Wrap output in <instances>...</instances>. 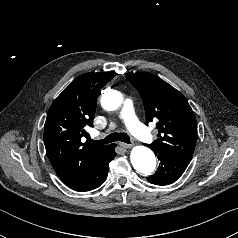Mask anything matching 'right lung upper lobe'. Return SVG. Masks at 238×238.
I'll return each instance as SVG.
<instances>
[{"instance_id":"obj_1","label":"right lung upper lobe","mask_w":238,"mask_h":238,"mask_svg":"<svg viewBox=\"0 0 238 238\" xmlns=\"http://www.w3.org/2000/svg\"><path fill=\"white\" fill-rule=\"evenodd\" d=\"M114 75L113 72L80 75L49 108L44 126L46 153L65 184L81 177L112 147L82 143L81 137L87 134L85 126H92L99 90Z\"/></svg>"}]
</instances>
